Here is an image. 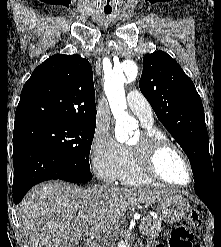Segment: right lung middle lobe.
<instances>
[{
  "mask_svg": "<svg viewBox=\"0 0 221 247\" xmlns=\"http://www.w3.org/2000/svg\"><path fill=\"white\" fill-rule=\"evenodd\" d=\"M96 123L51 122L14 129L13 139L41 144L78 167L90 171L89 153Z\"/></svg>",
  "mask_w": 221,
  "mask_h": 247,
  "instance_id": "right-lung-middle-lobe-1",
  "label": "right lung middle lobe"
}]
</instances>
